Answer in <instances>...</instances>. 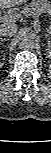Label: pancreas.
<instances>
[{
    "label": "pancreas",
    "mask_w": 51,
    "mask_h": 153,
    "mask_svg": "<svg viewBox=\"0 0 51 153\" xmlns=\"http://www.w3.org/2000/svg\"><path fill=\"white\" fill-rule=\"evenodd\" d=\"M31 11L49 14L51 12V2L48 0H32L30 4L24 7L22 13L27 15Z\"/></svg>",
    "instance_id": "pancreas-1"
}]
</instances>
